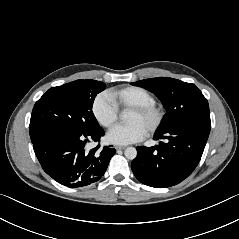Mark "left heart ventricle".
Listing matches in <instances>:
<instances>
[{
	"mask_svg": "<svg viewBox=\"0 0 239 239\" xmlns=\"http://www.w3.org/2000/svg\"><path fill=\"white\" fill-rule=\"evenodd\" d=\"M129 123H138L145 127L147 130L152 123V118L150 116L140 114L135 111H131L127 118Z\"/></svg>",
	"mask_w": 239,
	"mask_h": 239,
	"instance_id": "obj_1",
	"label": "left heart ventricle"
}]
</instances>
